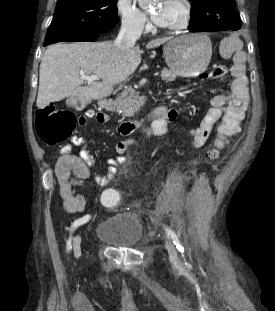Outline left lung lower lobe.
Wrapping results in <instances>:
<instances>
[{"instance_id":"1","label":"left lung lower lobe","mask_w":275,"mask_h":311,"mask_svg":"<svg viewBox=\"0 0 275 311\" xmlns=\"http://www.w3.org/2000/svg\"><path fill=\"white\" fill-rule=\"evenodd\" d=\"M228 29L220 28L217 26H204V27H190L192 32H213V31H225Z\"/></svg>"}]
</instances>
